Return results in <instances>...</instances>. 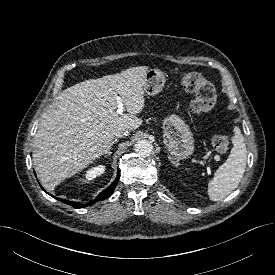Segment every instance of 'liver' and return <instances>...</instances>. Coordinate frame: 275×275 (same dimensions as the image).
<instances>
[{"label": "liver", "instance_id": "obj_1", "mask_svg": "<svg viewBox=\"0 0 275 275\" xmlns=\"http://www.w3.org/2000/svg\"><path fill=\"white\" fill-rule=\"evenodd\" d=\"M147 66L89 79L63 90L45 111L34 138L33 164L42 185L53 190L85 169L111 144L114 133L137 129L144 108ZM120 95L128 113L117 114Z\"/></svg>", "mask_w": 275, "mask_h": 275}]
</instances>
